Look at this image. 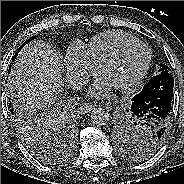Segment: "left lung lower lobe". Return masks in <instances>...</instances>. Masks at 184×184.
I'll return each instance as SVG.
<instances>
[{
	"mask_svg": "<svg viewBox=\"0 0 184 184\" xmlns=\"http://www.w3.org/2000/svg\"><path fill=\"white\" fill-rule=\"evenodd\" d=\"M174 79L171 73L152 77L142 91L132 98L128 112L145 124L166 132L173 107Z\"/></svg>",
	"mask_w": 184,
	"mask_h": 184,
	"instance_id": "obj_1",
	"label": "left lung lower lobe"
}]
</instances>
